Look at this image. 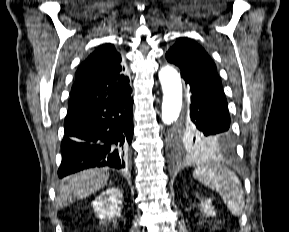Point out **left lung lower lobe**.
<instances>
[{
	"instance_id": "1",
	"label": "left lung lower lobe",
	"mask_w": 289,
	"mask_h": 232,
	"mask_svg": "<svg viewBox=\"0 0 289 232\" xmlns=\"http://www.w3.org/2000/svg\"><path fill=\"white\" fill-rule=\"evenodd\" d=\"M181 76L192 94L190 127L201 138L213 144L212 150L231 153L234 150V138L221 84L206 76L190 72L182 71Z\"/></svg>"
}]
</instances>
